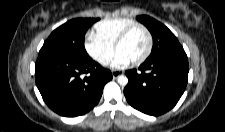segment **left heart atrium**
Segmentation results:
<instances>
[{
    "label": "left heart atrium",
    "instance_id": "obj_1",
    "mask_svg": "<svg viewBox=\"0 0 225 132\" xmlns=\"http://www.w3.org/2000/svg\"><path fill=\"white\" fill-rule=\"evenodd\" d=\"M129 62L130 60L124 54L117 52L112 62V66L115 68H121L127 65Z\"/></svg>",
    "mask_w": 225,
    "mask_h": 132
}]
</instances>
